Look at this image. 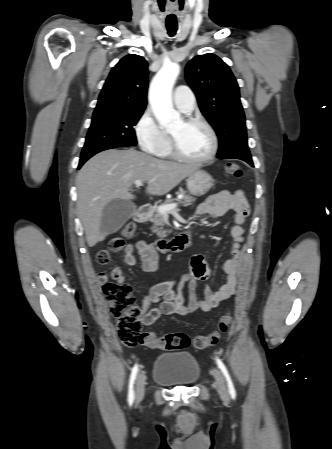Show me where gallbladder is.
<instances>
[{
	"mask_svg": "<svg viewBox=\"0 0 332 449\" xmlns=\"http://www.w3.org/2000/svg\"><path fill=\"white\" fill-rule=\"evenodd\" d=\"M136 206L130 200L114 199L103 209L100 230L115 233L130 219Z\"/></svg>",
	"mask_w": 332,
	"mask_h": 449,
	"instance_id": "1",
	"label": "gallbladder"
}]
</instances>
